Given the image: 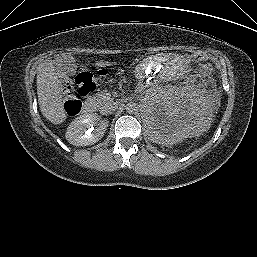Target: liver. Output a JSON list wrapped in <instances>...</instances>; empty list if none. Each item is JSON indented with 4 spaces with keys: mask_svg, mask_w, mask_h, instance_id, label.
Instances as JSON below:
<instances>
[{
    "mask_svg": "<svg viewBox=\"0 0 257 257\" xmlns=\"http://www.w3.org/2000/svg\"><path fill=\"white\" fill-rule=\"evenodd\" d=\"M96 66H106L108 62L96 61ZM61 74L53 61L41 63L37 73V95L43 116L53 124H60L66 119L63 108Z\"/></svg>",
    "mask_w": 257,
    "mask_h": 257,
    "instance_id": "1",
    "label": "liver"
}]
</instances>
